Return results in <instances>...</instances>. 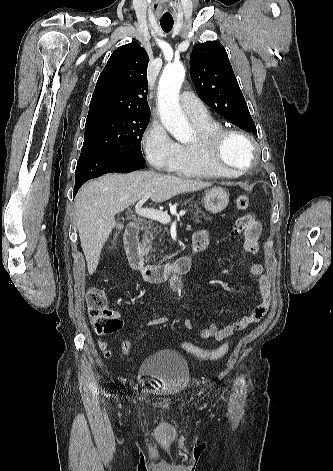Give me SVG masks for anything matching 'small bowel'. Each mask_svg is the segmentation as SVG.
<instances>
[{
	"label": "small bowel",
	"mask_w": 333,
	"mask_h": 471,
	"mask_svg": "<svg viewBox=\"0 0 333 471\" xmlns=\"http://www.w3.org/2000/svg\"><path fill=\"white\" fill-rule=\"evenodd\" d=\"M261 233V224L251 215H245L240 217L232 232L231 239L236 238L238 235H242L244 238L243 249L246 253L256 255L259 250L258 239ZM209 244V236L205 230L197 231L193 236V246L200 250H204ZM250 272L253 276L258 278L259 293L261 301L255 306L249 315L241 317L239 320L232 324H229L223 328H218L214 322H210L207 327L200 331V337L207 340L214 338L217 341H222L225 338L231 336L234 332L243 330L249 325L259 322L268 312L270 308V302L272 298L271 292V281L269 276L264 270V267L259 263H254L250 267ZM113 315L119 318V313L114 312ZM171 319L166 316L151 318L146 322L147 326H158L170 322ZM182 325L188 329H192V324L189 319H183ZM98 347L103 352L106 359L112 357V351L108 347V343L105 339H98Z\"/></svg>",
	"instance_id": "small-bowel-1"
}]
</instances>
